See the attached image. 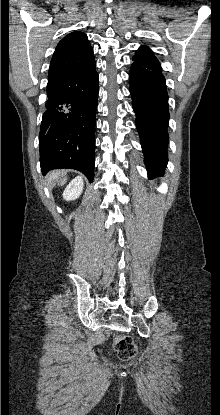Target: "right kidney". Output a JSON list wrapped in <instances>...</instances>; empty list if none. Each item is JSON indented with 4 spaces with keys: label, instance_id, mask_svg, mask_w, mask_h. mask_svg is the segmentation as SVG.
Listing matches in <instances>:
<instances>
[{
    "label": "right kidney",
    "instance_id": "1",
    "mask_svg": "<svg viewBox=\"0 0 220 415\" xmlns=\"http://www.w3.org/2000/svg\"><path fill=\"white\" fill-rule=\"evenodd\" d=\"M83 186V178L81 176H77L65 188L63 198L67 201L77 199L83 191Z\"/></svg>",
    "mask_w": 220,
    "mask_h": 415
}]
</instances>
